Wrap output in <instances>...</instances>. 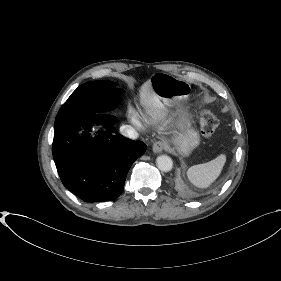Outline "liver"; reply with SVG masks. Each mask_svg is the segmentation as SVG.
<instances>
[{
    "label": "liver",
    "mask_w": 281,
    "mask_h": 281,
    "mask_svg": "<svg viewBox=\"0 0 281 281\" xmlns=\"http://www.w3.org/2000/svg\"><path fill=\"white\" fill-rule=\"evenodd\" d=\"M140 102L151 111L160 108V99L154 93L150 81L145 82L140 88Z\"/></svg>",
    "instance_id": "liver-1"
}]
</instances>
